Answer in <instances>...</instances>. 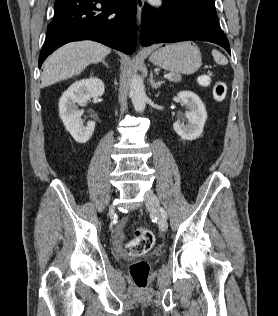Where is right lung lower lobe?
I'll return each instance as SVG.
<instances>
[{"instance_id":"obj_1","label":"right lung lower lobe","mask_w":278,"mask_h":316,"mask_svg":"<svg viewBox=\"0 0 278 316\" xmlns=\"http://www.w3.org/2000/svg\"><path fill=\"white\" fill-rule=\"evenodd\" d=\"M136 3L137 0H56L39 68L54 50L78 40H94L126 54L133 53Z\"/></svg>"}]
</instances>
